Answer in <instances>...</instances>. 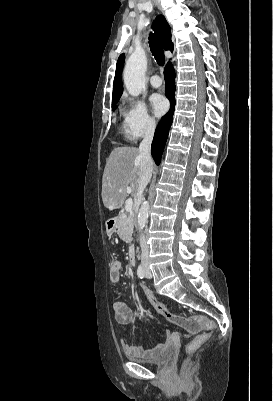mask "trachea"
<instances>
[{
    "label": "trachea",
    "mask_w": 273,
    "mask_h": 401,
    "mask_svg": "<svg viewBox=\"0 0 273 401\" xmlns=\"http://www.w3.org/2000/svg\"><path fill=\"white\" fill-rule=\"evenodd\" d=\"M149 45L151 52L157 61L158 65H164L165 63V55H164V50L162 48V45L160 43V40L158 37L154 34L151 33L149 36Z\"/></svg>",
    "instance_id": "1"
}]
</instances>
